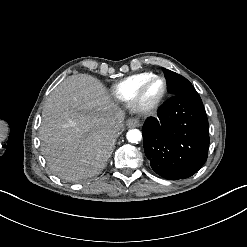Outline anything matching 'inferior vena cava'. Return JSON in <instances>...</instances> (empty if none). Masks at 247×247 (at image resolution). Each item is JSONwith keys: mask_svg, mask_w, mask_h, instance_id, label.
Here are the masks:
<instances>
[{"mask_svg": "<svg viewBox=\"0 0 247 247\" xmlns=\"http://www.w3.org/2000/svg\"><path fill=\"white\" fill-rule=\"evenodd\" d=\"M107 129L109 133L112 134L114 137H116L119 131L122 130L121 127L117 124H115L114 126H108Z\"/></svg>", "mask_w": 247, "mask_h": 247, "instance_id": "1", "label": "inferior vena cava"}]
</instances>
